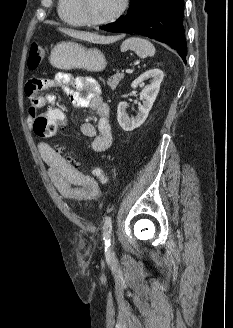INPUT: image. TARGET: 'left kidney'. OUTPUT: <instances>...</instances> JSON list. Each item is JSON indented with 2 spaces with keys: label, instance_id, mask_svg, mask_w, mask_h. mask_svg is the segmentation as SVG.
<instances>
[{
  "label": "left kidney",
  "instance_id": "5707ae66",
  "mask_svg": "<svg viewBox=\"0 0 233 328\" xmlns=\"http://www.w3.org/2000/svg\"><path fill=\"white\" fill-rule=\"evenodd\" d=\"M163 77V71L155 68L146 71L132 82L131 87L136 88L138 85L143 84L145 80L152 79L151 84L145 86L140 94V99L143 101V104L139 107V112L136 117L130 118L127 115L126 102L119 103L117 109V120L124 131H132L144 123L159 93Z\"/></svg>",
  "mask_w": 233,
  "mask_h": 328
}]
</instances>
